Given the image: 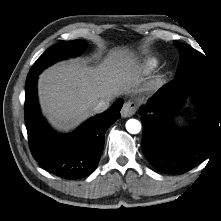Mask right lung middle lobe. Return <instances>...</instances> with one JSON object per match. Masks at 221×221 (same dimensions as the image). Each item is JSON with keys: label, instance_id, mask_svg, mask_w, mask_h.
<instances>
[{"label": "right lung middle lobe", "instance_id": "right-lung-middle-lobe-1", "mask_svg": "<svg viewBox=\"0 0 221 221\" xmlns=\"http://www.w3.org/2000/svg\"><path fill=\"white\" fill-rule=\"evenodd\" d=\"M84 47L85 43L81 40L63 41L52 46L33 64L27 79L39 75L42 70L58 60L79 55L83 51Z\"/></svg>", "mask_w": 221, "mask_h": 221}]
</instances>
